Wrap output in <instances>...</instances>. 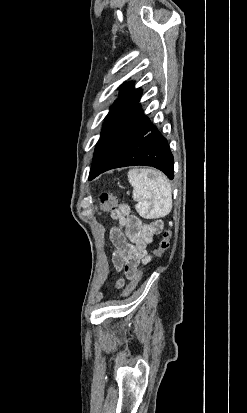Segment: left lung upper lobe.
<instances>
[{
  "label": "left lung upper lobe",
  "mask_w": 247,
  "mask_h": 413,
  "mask_svg": "<svg viewBox=\"0 0 247 413\" xmlns=\"http://www.w3.org/2000/svg\"><path fill=\"white\" fill-rule=\"evenodd\" d=\"M119 90V98L115 101L114 106L105 118L106 121L104 122L101 136L122 118L140 99L141 90L133 89L131 83H128L126 86H121Z\"/></svg>",
  "instance_id": "left-lung-upper-lobe-1"
}]
</instances>
